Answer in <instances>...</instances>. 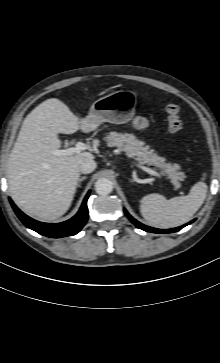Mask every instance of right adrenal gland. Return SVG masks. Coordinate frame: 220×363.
I'll use <instances>...</instances> for the list:
<instances>
[{
  "label": "right adrenal gland",
  "instance_id": "1",
  "mask_svg": "<svg viewBox=\"0 0 220 363\" xmlns=\"http://www.w3.org/2000/svg\"><path fill=\"white\" fill-rule=\"evenodd\" d=\"M85 179H86V176L81 177V178L79 179V181H78L77 187H80V186H81V182H82L83 180H85Z\"/></svg>",
  "mask_w": 220,
  "mask_h": 363
}]
</instances>
